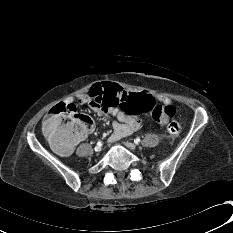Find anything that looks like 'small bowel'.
<instances>
[{
    "label": "small bowel",
    "mask_w": 233,
    "mask_h": 233,
    "mask_svg": "<svg viewBox=\"0 0 233 233\" xmlns=\"http://www.w3.org/2000/svg\"><path fill=\"white\" fill-rule=\"evenodd\" d=\"M104 83H113V82H104ZM93 86V85H92ZM91 86V87H92ZM89 89L88 93L79 94L76 98V101L92 109L98 116H104L106 114L113 116L115 118L113 122V134L112 140L117 141L123 137L129 136L137 132L141 128V122L138 119L137 115H129L125 111L118 109V107L108 104H97L90 95ZM154 101L162 102L165 105H170L172 103L171 99L165 95H153ZM71 105V102L68 103ZM75 106V105H74ZM73 145L66 149H59L60 154L67 155L72 149Z\"/></svg>",
    "instance_id": "small-bowel-1"
}]
</instances>
